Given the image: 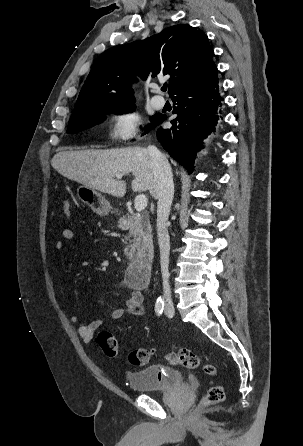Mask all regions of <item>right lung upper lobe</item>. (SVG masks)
<instances>
[{"instance_id": "obj_1", "label": "right lung upper lobe", "mask_w": 303, "mask_h": 446, "mask_svg": "<svg viewBox=\"0 0 303 446\" xmlns=\"http://www.w3.org/2000/svg\"><path fill=\"white\" fill-rule=\"evenodd\" d=\"M214 51L208 37L189 25H174L141 41L103 52L83 85L73 115L102 106H123L134 102L130 82L170 75L169 95L202 83L217 75Z\"/></svg>"}]
</instances>
